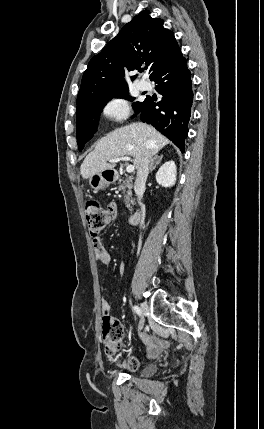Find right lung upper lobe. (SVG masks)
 <instances>
[{
	"label": "right lung upper lobe",
	"instance_id": "cb5924a9",
	"mask_svg": "<svg viewBox=\"0 0 264 429\" xmlns=\"http://www.w3.org/2000/svg\"><path fill=\"white\" fill-rule=\"evenodd\" d=\"M179 50L173 32L163 27V20L142 11L90 60L82 77L77 107L127 89L124 66L134 70L145 64L151 78Z\"/></svg>",
	"mask_w": 264,
	"mask_h": 429
}]
</instances>
